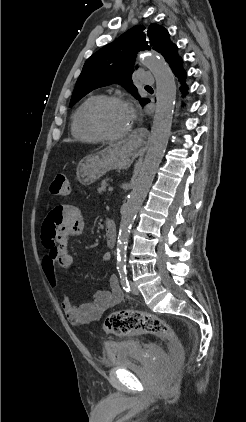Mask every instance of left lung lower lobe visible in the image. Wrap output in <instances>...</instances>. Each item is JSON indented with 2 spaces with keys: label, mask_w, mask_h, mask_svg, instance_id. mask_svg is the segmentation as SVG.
Instances as JSON below:
<instances>
[{
  "label": "left lung lower lobe",
  "mask_w": 246,
  "mask_h": 422,
  "mask_svg": "<svg viewBox=\"0 0 246 422\" xmlns=\"http://www.w3.org/2000/svg\"><path fill=\"white\" fill-rule=\"evenodd\" d=\"M177 51H178V48L171 55V57L168 59L167 63L169 64V66L172 69V71L175 74V76L178 77L179 81L181 82V91H182V94L185 95V94H187V91H188V87L185 84V79L187 77V73H186V71L184 70V68L182 66L183 65V60L178 55V52Z\"/></svg>",
  "instance_id": "1"
}]
</instances>
